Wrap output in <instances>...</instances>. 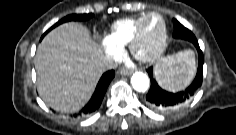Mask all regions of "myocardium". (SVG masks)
I'll use <instances>...</instances> for the list:
<instances>
[{"label":"myocardium","instance_id":"myocardium-1","mask_svg":"<svg viewBox=\"0 0 236 135\" xmlns=\"http://www.w3.org/2000/svg\"><path fill=\"white\" fill-rule=\"evenodd\" d=\"M151 17H157L162 24V35L161 38L156 45V47L148 54H141L138 51V47L141 43L143 32H144V27L148 19ZM167 39H168V27L167 23L162 15L156 12H150L146 14L140 23L138 24L135 33L132 36V39L129 43V51L131 55L138 61L144 62V63H151L156 61L163 53L166 44H167Z\"/></svg>","mask_w":236,"mask_h":135}]
</instances>
